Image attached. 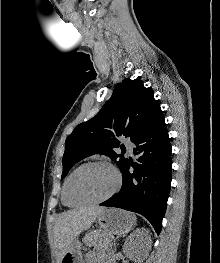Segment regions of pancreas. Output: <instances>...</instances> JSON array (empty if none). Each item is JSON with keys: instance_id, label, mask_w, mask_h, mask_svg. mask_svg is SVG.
Returning <instances> with one entry per match:
<instances>
[{"instance_id": "obj_1", "label": "pancreas", "mask_w": 220, "mask_h": 263, "mask_svg": "<svg viewBox=\"0 0 220 263\" xmlns=\"http://www.w3.org/2000/svg\"><path fill=\"white\" fill-rule=\"evenodd\" d=\"M84 243L97 248H105L107 243L106 234L102 230L93 231L85 236Z\"/></svg>"}]
</instances>
